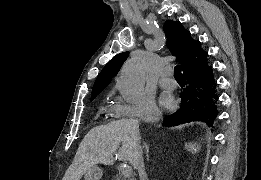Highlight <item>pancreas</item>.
Masks as SVG:
<instances>
[{
  "label": "pancreas",
  "instance_id": "obj_1",
  "mask_svg": "<svg viewBox=\"0 0 261 180\" xmlns=\"http://www.w3.org/2000/svg\"><path fill=\"white\" fill-rule=\"evenodd\" d=\"M112 176H115V180H124V174H118L117 171H112Z\"/></svg>",
  "mask_w": 261,
  "mask_h": 180
}]
</instances>
